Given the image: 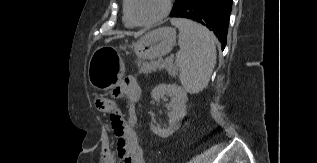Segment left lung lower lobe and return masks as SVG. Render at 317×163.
<instances>
[{
	"instance_id": "left-lung-lower-lobe-1",
	"label": "left lung lower lobe",
	"mask_w": 317,
	"mask_h": 163,
	"mask_svg": "<svg viewBox=\"0 0 317 163\" xmlns=\"http://www.w3.org/2000/svg\"><path fill=\"white\" fill-rule=\"evenodd\" d=\"M231 6L232 0H178L170 17L197 21L213 31L221 43L226 45Z\"/></svg>"
}]
</instances>
